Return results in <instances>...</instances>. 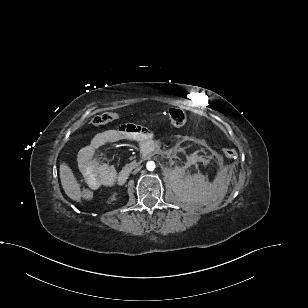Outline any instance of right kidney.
<instances>
[{
    "mask_svg": "<svg viewBox=\"0 0 308 308\" xmlns=\"http://www.w3.org/2000/svg\"><path fill=\"white\" fill-rule=\"evenodd\" d=\"M116 198V193L111 196V199L114 200Z\"/></svg>",
    "mask_w": 308,
    "mask_h": 308,
    "instance_id": "ca27d5eb",
    "label": "right kidney"
}]
</instances>
